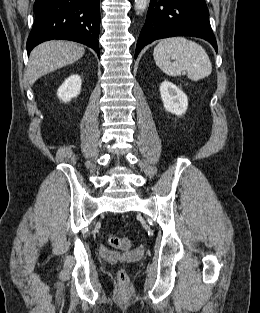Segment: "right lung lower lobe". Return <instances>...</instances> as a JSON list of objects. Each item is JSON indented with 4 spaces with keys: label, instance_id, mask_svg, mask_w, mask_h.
I'll use <instances>...</instances> for the list:
<instances>
[{
    "label": "right lung lower lobe",
    "instance_id": "obj_1",
    "mask_svg": "<svg viewBox=\"0 0 260 313\" xmlns=\"http://www.w3.org/2000/svg\"><path fill=\"white\" fill-rule=\"evenodd\" d=\"M33 10L28 54L44 41L63 39L85 44L99 56V0H36Z\"/></svg>",
    "mask_w": 260,
    "mask_h": 313
}]
</instances>
